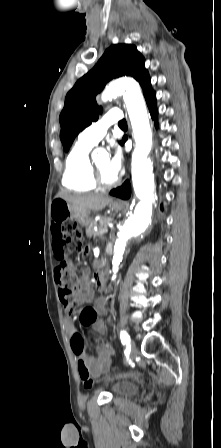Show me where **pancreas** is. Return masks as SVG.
<instances>
[{
  "label": "pancreas",
  "instance_id": "cf45deb5",
  "mask_svg": "<svg viewBox=\"0 0 221 448\" xmlns=\"http://www.w3.org/2000/svg\"><path fill=\"white\" fill-rule=\"evenodd\" d=\"M112 222V218L110 217H102L101 220L99 221V230L102 229L103 227L107 226L108 223ZM86 235L87 237H96L98 235V231H94L93 229V223L91 222L87 229H86Z\"/></svg>",
  "mask_w": 221,
  "mask_h": 448
}]
</instances>
